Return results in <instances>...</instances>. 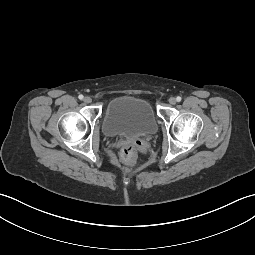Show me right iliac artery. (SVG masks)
Here are the masks:
<instances>
[{
  "mask_svg": "<svg viewBox=\"0 0 255 255\" xmlns=\"http://www.w3.org/2000/svg\"><path fill=\"white\" fill-rule=\"evenodd\" d=\"M78 98H79L80 100H83L84 96H83V95H79Z\"/></svg>",
  "mask_w": 255,
  "mask_h": 255,
  "instance_id": "1",
  "label": "right iliac artery"
}]
</instances>
